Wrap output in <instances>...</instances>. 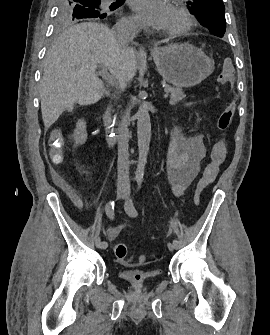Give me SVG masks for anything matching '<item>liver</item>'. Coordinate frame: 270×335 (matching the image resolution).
<instances>
[{
	"instance_id": "obj_1",
	"label": "liver",
	"mask_w": 270,
	"mask_h": 335,
	"mask_svg": "<svg viewBox=\"0 0 270 335\" xmlns=\"http://www.w3.org/2000/svg\"><path fill=\"white\" fill-rule=\"evenodd\" d=\"M103 64L113 76L132 80L137 70L134 48L118 44L105 24L82 22L59 34L43 62L40 82L41 112L51 126L74 104H90L104 92L95 72Z\"/></svg>"
}]
</instances>
